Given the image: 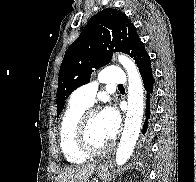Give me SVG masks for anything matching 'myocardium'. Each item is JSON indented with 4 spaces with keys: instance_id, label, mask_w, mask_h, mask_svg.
<instances>
[{
    "instance_id": "f54148a6",
    "label": "myocardium",
    "mask_w": 196,
    "mask_h": 182,
    "mask_svg": "<svg viewBox=\"0 0 196 182\" xmlns=\"http://www.w3.org/2000/svg\"><path fill=\"white\" fill-rule=\"evenodd\" d=\"M96 114L97 111L94 109L85 110L78 118L74 128V133H73L74 145L79 152H81L87 157L103 155L109 152L110 149L112 148V143H108L106 146L99 149L91 148L87 143L86 140L87 122L92 115H96Z\"/></svg>"
}]
</instances>
